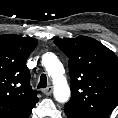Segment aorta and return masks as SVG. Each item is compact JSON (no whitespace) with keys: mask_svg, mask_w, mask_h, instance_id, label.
<instances>
[{"mask_svg":"<svg viewBox=\"0 0 118 118\" xmlns=\"http://www.w3.org/2000/svg\"><path fill=\"white\" fill-rule=\"evenodd\" d=\"M48 75L53 81V95L57 102L66 103L70 99V87L64 76V68L57 56L53 53H46L42 57Z\"/></svg>","mask_w":118,"mask_h":118,"instance_id":"1","label":"aorta"}]
</instances>
